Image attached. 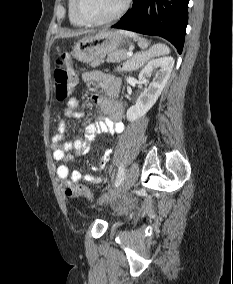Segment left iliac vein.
Masks as SVG:
<instances>
[{
	"label": "left iliac vein",
	"instance_id": "1",
	"mask_svg": "<svg viewBox=\"0 0 233 284\" xmlns=\"http://www.w3.org/2000/svg\"><path fill=\"white\" fill-rule=\"evenodd\" d=\"M139 175V165L137 163H133L129 168L125 179L123 180L122 184L110 194L103 196L100 198L99 203H107L112 202L120 198L122 195L127 193L131 187L134 185L136 179Z\"/></svg>",
	"mask_w": 233,
	"mask_h": 284
}]
</instances>
